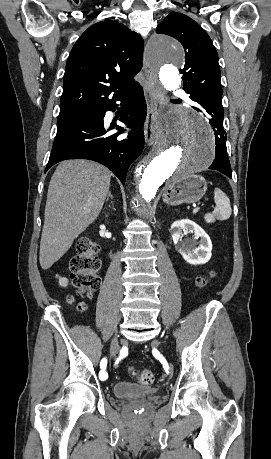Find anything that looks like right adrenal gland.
<instances>
[{"mask_svg":"<svg viewBox=\"0 0 271 459\" xmlns=\"http://www.w3.org/2000/svg\"><path fill=\"white\" fill-rule=\"evenodd\" d=\"M109 198H111V200H113V196H111V192H108V196H107L106 202H108ZM111 204H113V202H111Z\"/></svg>","mask_w":271,"mask_h":459,"instance_id":"1","label":"right adrenal gland"}]
</instances>
